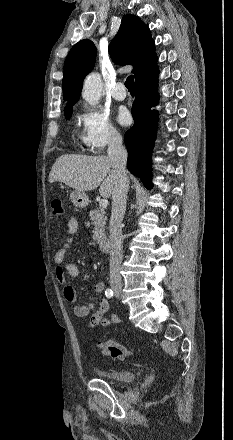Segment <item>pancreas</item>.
<instances>
[{
    "mask_svg": "<svg viewBox=\"0 0 233 440\" xmlns=\"http://www.w3.org/2000/svg\"><path fill=\"white\" fill-rule=\"evenodd\" d=\"M90 220L92 221V224L94 225V231H93V240L95 242H100L105 239V227H106V212L104 208L99 207L94 210H91L89 213Z\"/></svg>",
    "mask_w": 233,
    "mask_h": 440,
    "instance_id": "obj_1",
    "label": "pancreas"
}]
</instances>
